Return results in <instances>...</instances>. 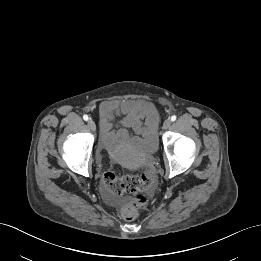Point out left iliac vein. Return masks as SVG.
I'll list each match as a JSON object with an SVG mask.
<instances>
[{
	"instance_id": "4c4485c4",
	"label": "left iliac vein",
	"mask_w": 261,
	"mask_h": 261,
	"mask_svg": "<svg viewBox=\"0 0 261 261\" xmlns=\"http://www.w3.org/2000/svg\"><path fill=\"white\" fill-rule=\"evenodd\" d=\"M171 126V120L170 119H166L163 123V129H169Z\"/></svg>"
}]
</instances>
